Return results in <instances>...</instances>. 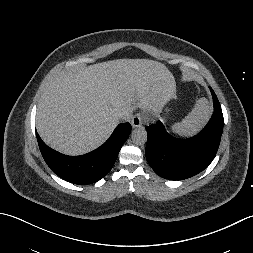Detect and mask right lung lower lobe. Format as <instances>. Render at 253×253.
Returning <instances> with one entry per match:
<instances>
[{
  "label": "right lung lower lobe",
  "mask_w": 253,
  "mask_h": 253,
  "mask_svg": "<svg viewBox=\"0 0 253 253\" xmlns=\"http://www.w3.org/2000/svg\"><path fill=\"white\" fill-rule=\"evenodd\" d=\"M131 131L129 123L120 124L98 149L82 155L67 156L48 147L36 133L41 154L50 169L62 179L79 185L95 183L107 175Z\"/></svg>",
  "instance_id": "98d812e1"
}]
</instances>
